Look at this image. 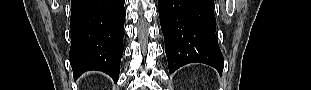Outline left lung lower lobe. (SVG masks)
<instances>
[{"label": "left lung lower lobe", "instance_id": "left-lung-lower-lobe-1", "mask_svg": "<svg viewBox=\"0 0 311 90\" xmlns=\"http://www.w3.org/2000/svg\"><path fill=\"white\" fill-rule=\"evenodd\" d=\"M159 16L170 73L192 62L222 73L213 0H159Z\"/></svg>", "mask_w": 311, "mask_h": 90}]
</instances>
